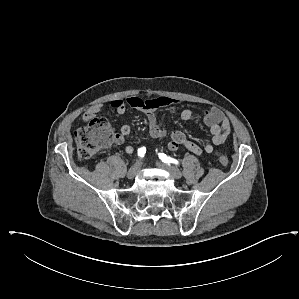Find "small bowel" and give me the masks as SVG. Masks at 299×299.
I'll return each mask as SVG.
<instances>
[{"label": "small bowel", "mask_w": 299, "mask_h": 299, "mask_svg": "<svg viewBox=\"0 0 299 299\" xmlns=\"http://www.w3.org/2000/svg\"><path fill=\"white\" fill-rule=\"evenodd\" d=\"M126 104L131 108L137 109L144 113L148 126L149 133L153 138L161 139L167 135L166 130L159 124L155 111L162 107L176 106L180 104L177 99L161 96L150 100H143L136 96L128 97L126 102L120 99L111 101V107L118 113L123 114L126 110ZM103 104H95L90 107L83 115L84 121H89L97 116L102 110ZM195 116V111L191 108H184L180 112V118L184 121L191 120ZM203 121L209 127L212 134L211 142L204 145L203 149L193 141H190L186 134L180 130H174L169 134L168 148L171 151H176L180 147H185L196 155H201L203 150L206 153H214V146L223 144L231 133V124L226 115L218 108H211L203 114ZM131 127L127 124L121 126L117 134L115 143L122 144L125 138L130 135ZM125 152L132 154L134 146L127 144Z\"/></svg>", "instance_id": "1"}]
</instances>
